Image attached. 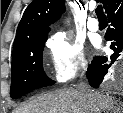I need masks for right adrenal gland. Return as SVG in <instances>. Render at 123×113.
I'll return each mask as SVG.
<instances>
[{"label": "right adrenal gland", "instance_id": "right-adrenal-gland-1", "mask_svg": "<svg viewBox=\"0 0 123 113\" xmlns=\"http://www.w3.org/2000/svg\"><path fill=\"white\" fill-rule=\"evenodd\" d=\"M122 106H123V104H122ZM117 112H119L118 110H117ZM106 113H109L108 111H106ZM122 113H123V111H122Z\"/></svg>", "mask_w": 123, "mask_h": 113}]
</instances>
